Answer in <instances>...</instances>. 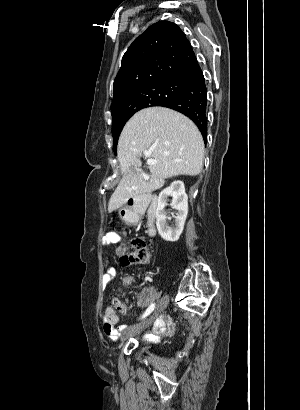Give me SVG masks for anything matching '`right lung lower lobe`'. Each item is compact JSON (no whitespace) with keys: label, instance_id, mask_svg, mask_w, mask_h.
<instances>
[{"label":"right lung lower lobe","instance_id":"1","mask_svg":"<svg viewBox=\"0 0 300 410\" xmlns=\"http://www.w3.org/2000/svg\"><path fill=\"white\" fill-rule=\"evenodd\" d=\"M161 106L174 109L189 117L199 128L204 141L207 139V88L202 70L199 68L184 84L182 89Z\"/></svg>","mask_w":300,"mask_h":410}]
</instances>
